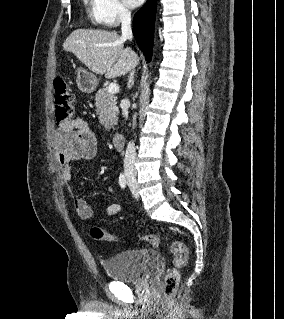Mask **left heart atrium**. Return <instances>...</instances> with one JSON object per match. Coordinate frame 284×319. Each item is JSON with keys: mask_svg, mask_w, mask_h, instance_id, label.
I'll use <instances>...</instances> for the list:
<instances>
[{"mask_svg": "<svg viewBox=\"0 0 284 319\" xmlns=\"http://www.w3.org/2000/svg\"><path fill=\"white\" fill-rule=\"evenodd\" d=\"M123 1L126 4V6H128L129 8H136L144 2V0H123Z\"/></svg>", "mask_w": 284, "mask_h": 319, "instance_id": "39dd6f15", "label": "left heart atrium"}]
</instances>
